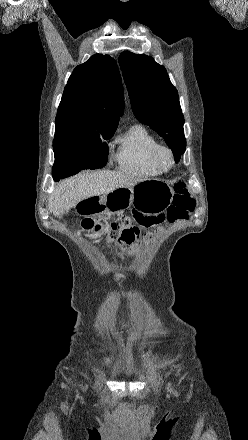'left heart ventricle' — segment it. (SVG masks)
<instances>
[{
  "label": "left heart ventricle",
  "mask_w": 248,
  "mask_h": 440,
  "mask_svg": "<svg viewBox=\"0 0 248 440\" xmlns=\"http://www.w3.org/2000/svg\"><path fill=\"white\" fill-rule=\"evenodd\" d=\"M162 162H163L164 165H168L169 164V157L166 154H164L162 156Z\"/></svg>",
  "instance_id": "b2bd125f"
}]
</instances>
